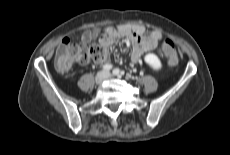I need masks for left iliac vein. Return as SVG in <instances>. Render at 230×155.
I'll return each instance as SVG.
<instances>
[{"label":"left iliac vein","instance_id":"4c4485c4","mask_svg":"<svg viewBox=\"0 0 230 155\" xmlns=\"http://www.w3.org/2000/svg\"><path fill=\"white\" fill-rule=\"evenodd\" d=\"M111 74L109 72L106 73V78H109Z\"/></svg>","mask_w":230,"mask_h":155}]
</instances>
